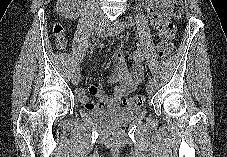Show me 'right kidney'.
<instances>
[{"instance_id":"ca27d5eb","label":"right kidney","mask_w":227,"mask_h":157,"mask_svg":"<svg viewBox=\"0 0 227 157\" xmlns=\"http://www.w3.org/2000/svg\"><path fill=\"white\" fill-rule=\"evenodd\" d=\"M59 5L57 6V11L60 12V14L69 19H76L78 16V13L76 12V8L74 6H70L69 3L73 1H67L66 0H59Z\"/></svg>"}]
</instances>
